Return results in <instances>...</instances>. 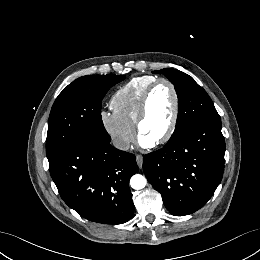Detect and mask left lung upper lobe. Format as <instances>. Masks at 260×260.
Segmentation results:
<instances>
[{
    "label": "left lung upper lobe",
    "instance_id": "1",
    "mask_svg": "<svg viewBox=\"0 0 260 260\" xmlns=\"http://www.w3.org/2000/svg\"><path fill=\"white\" fill-rule=\"evenodd\" d=\"M154 73L165 75L174 84L179 99L178 118L170 140L176 139L195 123L220 118L209 95L192 77L170 68Z\"/></svg>",
    "mask_w": 260,
    "mask_h": 260
}]
</instances>
